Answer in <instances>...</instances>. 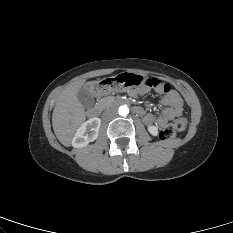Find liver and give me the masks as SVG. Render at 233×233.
I'll return each mask as SVG.
<instances>
[{
  "label": "liver",
  "mask_w": 233,
  "mask_h": 233,
  "mask_svg": "<svg viewBox=\"0 0 233 233\" xmlns=\"http://www.w3.org/2000/svg\"><path fill=\"white\" fill-rule=\"evenodd\" d=\"M93 83H85L84 79L76 81L68 85L57 97L52 114V126L57 139L64 146L70 145L75 132L86 119L84 107L79 102L77 93L82 87H87L95 95Z\"/></svg>",
  "instance_id": "1"
}]
</instances>
